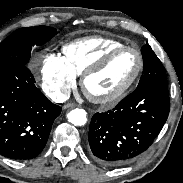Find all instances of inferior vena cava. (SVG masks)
<instances>
[{
	"mask_svg": "<svg viewBox=\"0 0 183 183\" xmlns=\"http://www.w3.org/2000/svg\"><path fill=\"white\" fill-rule=\"evenodd\" d=\"M69 92L61 93V92H52L49 93L48 96L57 103H63L69 98Z\"/></svg>",
	"mask_w": 183,
	"mask_h": 183,
	"instance_id": "1",
	"label": "inferior vena cava"
}]
</instances>
